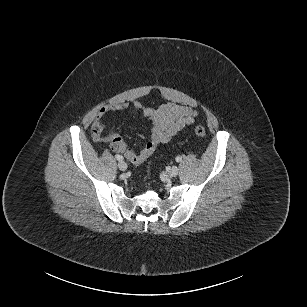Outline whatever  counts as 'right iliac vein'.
<instances>
[{"label": "right iliac vein", "instance_id": "1", "mask_svg": "<svg viewBox=\"0 0 307 307\" xmlns=\"http://www.w3.org/2000/svg\"><path fill=\"white\" fill-rule=\"evenodd\" d=\"M118 168L121 170V171H125L127 169V164L124 162V161H119L118 163Z\"/></svg>", "mask_w": 307, "mask_h": 307}]
</instances>
